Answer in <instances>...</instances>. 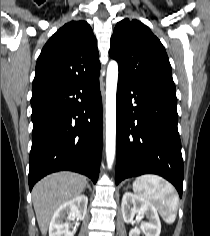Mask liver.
Wrapping results in <instances>:
<instances>
[{"label":"liver","mask_w":210,"mask_h":236,"mask_svg":"<svg viewBox=\"0 0 210 236\" xmlns=\"http://www.w3.org/2000/svg\"><path fill=\"white\" fill-rule=\"evenodd\" d=\"M86 185L87 180L83 175L59 172L44 177L34 186L32 201L43 236L47 234L54 212L65 202L79 196Z\"/></svg>","instance_id":"1"}]
</instances>
